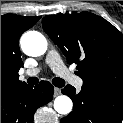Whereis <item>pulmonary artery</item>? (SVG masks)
Instances as JSON below:
<instances>
[{"label": "pulmonary artery", "instance_id": "pulmonary-artery-1", "mask_svg": "<svg viewBox=\"0 0 123 123\" xmlns=\"http://www.w3.org/2000/svg\"><path fill=\"white\" fill-rule=\"evenodd\" d=\"M45 63L52 69V71L60 78L70 82L75 87L82 86V79L71 73L64 65L59 53L51 49L47 52ZM40 68L28 69L25 71L26 76H34L39 73Z\"/></svg>", "mask_w": 123, "mask_h": 123}]
</instances>
